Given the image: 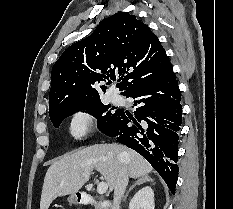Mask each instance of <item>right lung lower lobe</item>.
Returning a JSON list of instances; mask_svg holds the SVG:
<instances>
[{
  "instance_id": "right-lung-lower-lobe-1",
  "label": "right lung lower lobe",
  "mask_w": 233,
  "mask_h": 209,
  "mask_svg": "<svg viewBox=\"0 0 233 209\" xmlns=\"http://www.w3.org/2000/svg\"><path fill=\"white\" fill-rule=\"evenodd\" d=\"M126 97L136 99L135 117L119 111L117 118L103 133L116 137L119 142L140 153L174 194L182 105L172 65L155 81Z\"/></svg>"
}]
</instances>
